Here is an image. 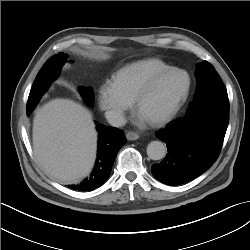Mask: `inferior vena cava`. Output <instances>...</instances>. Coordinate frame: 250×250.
Listing matches in <instances>:
<instances>
[{
	"label": "inferior vena cava",
	"instance_id": "602c4592",
	"mask_svg": "<svg viewBox=\"0 0 250 250\" xmlns=\"http://www.w3.org/2000/svg\"><path fill=\"white\" fill-rule=\"evenodd\" d=\"M105 117L108 123L114 127H121L126 124V119L121 111L108 110L105 113Z\"/></svg>",
	"mask_w": 250,
	"mask_h": 250
}]
</instances>
